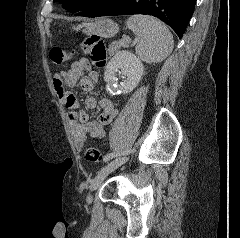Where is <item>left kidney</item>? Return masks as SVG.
<instances>
[{
    "label": "left kidney",
    "mask_w": 240,
    "mask_h": 238,
    "mask_svg": "<svg viewBox=\"0 0 240 238\" xmlns=\"http://www.w3.org/2000/svg\"><path fill=\"white\" fill-rule=\"evenodd\" d=\"M121 70L124 75L123 82L119 85L116 73ZM143 64L133 53L123 50L117 52L108 62L104 80L107 82V91L111 94L129 93L139 83L143 74Z\"/></svg>",
    "instance_id": "1"
}]
</instances>
